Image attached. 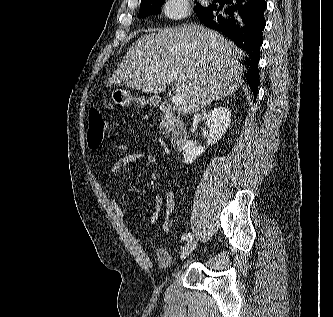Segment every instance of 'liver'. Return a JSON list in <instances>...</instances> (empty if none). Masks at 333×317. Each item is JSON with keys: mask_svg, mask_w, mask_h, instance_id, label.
<instances>
[{"mask_svg": "<svg viewBox=\"0 0 333 317\" xmlns=\"http://www.w3.org/2000/svg\"><path fill=\"white\" fill-rule=\"evenodd\" d=\"M243 55L232 41L203 26L159 29L133 43L109 83L125 82L153 94L172 83L182 97L180 112L191 115L237 91Z\"/></svg>", "mask_w": 333, "mask_h": 317, "instance_id": "1", "label": "liver"}]
</instances>
